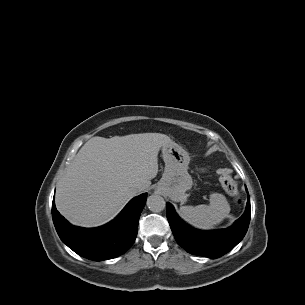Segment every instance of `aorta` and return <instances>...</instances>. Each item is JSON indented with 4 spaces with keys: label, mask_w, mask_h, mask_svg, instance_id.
<instances>
[{
    "label": "aorta",
    "mask_w": 305,
    "mask_h": 305,
    "mask_svg": "<svg viewBox=\"0 0 305 305\" xmlns=\"http://www.w3.org/2000/svg\"><path fill=\"white\" fill-rule=\"evenodd\" d=\"M146 204L150 211L156 213L163 211L166 207L164 198L156 194L149 196Z\"/></svg>",
    "instance_id": "762f6f07"
}]
</instances>
